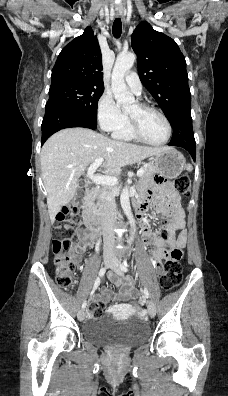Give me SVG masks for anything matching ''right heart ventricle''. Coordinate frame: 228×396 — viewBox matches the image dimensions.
<instances>
[{
    "mask_svg": "<svg viewBox=\"0 0 228 396\" xmlns=\"http://www.w3.org/2000/svg\"><path fill=\"white\" fill-rule=\"evenodd\" d=\"M113 136L117 139L126 140V141H131V140L135 139V137L131 133L129 123H128V125L113 132Z\"/></svg>",
    "mask_w": 228,
    "mask_h": 396,
    "instance_id": "1",
    "label": "right heart ventricle"
}]
</instances>
